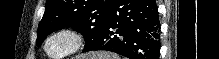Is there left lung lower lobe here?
<instances>
[{
    "label": "left lung lower lobe",
    "instance_id": "0a47b994",
    "mask_svg": "<svg viewBox=\"0 0 219 59\" xmlns=\"http://www.w3.org/2000/svg\"><path fill=\"white\" fill-rule=\"evenodd\" d=\"M106 50L129 59H159L160 22L154 0H114L101 33L83 52Z\"/></svg>",
    "mask_w": 219,
    "mask_h": 59
}]
</instances>
